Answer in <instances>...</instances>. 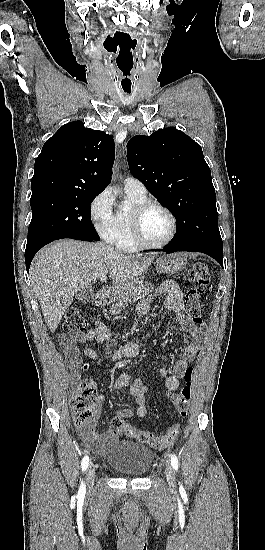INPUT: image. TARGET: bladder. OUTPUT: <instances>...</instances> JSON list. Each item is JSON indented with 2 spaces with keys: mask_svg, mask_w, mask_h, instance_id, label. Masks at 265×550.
Returning <instances> with one entry per match:
<instances>
[{
  "mask_svg": "<svg viewBox=\"0 0 265 550\" xmlns=\"http://www.w3.org/2000/svg\"><path fill=\"white\" fill-rule=\"evenodd\" d=\"M105 457L109 466L119 474L137 478L150 471L156 454L144 444L113 441Z\"/></svg>",
  "mask_w": 265,
  "mask_h": 550,
  "instance_id": "bladder-1",
  "label": "bladder"
}]
</instances>
